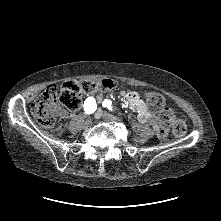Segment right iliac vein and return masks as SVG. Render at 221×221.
<instances>
[{
	"mask_svg": "<svg viewBox=\"0 0 221 221\" xmlns=\"http://www.w3.org/2000/svg\"><path fill=\"white\" fill-rule=\"evenodd\" d=\"M100 116H101V114H100V113H98L96 117H97V118H100ZM88 124H89V123H88Z\"/></svg>",
	"mask_w": 221,
	"mask_h": 221,
	"instance_id": "obj_1",
	"label": "right iliac vein"
}]
</instances>
